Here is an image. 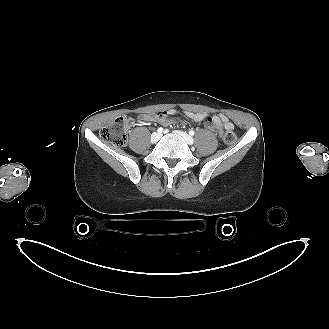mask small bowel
Instances as JSON below:
<instances>
[{"label":"small bowel","mask_w":329,"mask_h":329,"mask_svg":"<svg viewBox=\"0 0 329 329\" xmlns=\"http://www.w3.org/2000/svg\"><path fill=\"white\" fill-rule=\"evenodd\" d=\"M176 114V110L168 109L159 112L156 115L142 114L141 119L144 121H158L162 124L168 125L174 122L171 117ZM185 116L196 123H205L206 126L211 131L215 132L219 138H222L225 132L232 131L234 129V124L224 114L209 115L198 112H186Z\"/></svg>","instance_id":"obj_1"}]
</instances>
